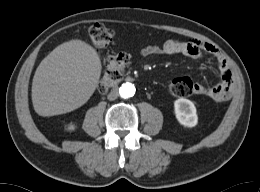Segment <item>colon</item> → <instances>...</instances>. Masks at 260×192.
Segmentation results:
<instances>
[{
	"mask_svg": "<svg viewBox=\"0 0 260 192\" xmlns=\"http://www.w3.org/2000/svg\"><path fill=\"white\" fill-rule=\"evenodd\" d=\"M89 37L92 45L102 51L107 48L113 40V32L102 24H93L89 29ZM129 57L125 53L111 55L105 62V73L99 83L100 93H106L116 85L127 67ZM168 92L174 96L184 97L193 93L194 83L187 77L176 78L172 80L168 87Z\"/></svg>",
	"mask_w": 260,
	"mask_h": 192,
	"instance_id": "colon-1",
	"label": "colon"
}]
</instances>
